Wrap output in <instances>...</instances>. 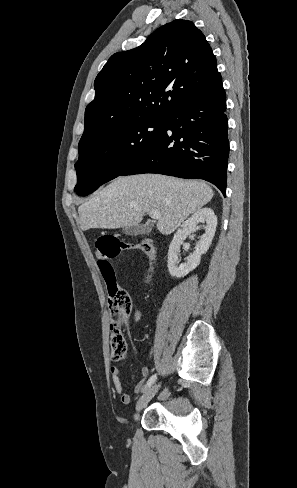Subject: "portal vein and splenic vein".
I'll return each instance as SVG.
<instances>
[{
    "mask_svg": "<svg viewBox=\"0 0 297 488\" xmlns=\"http://www.w3.org/2000/svg\"><path fill=\"white\" fill-rule=\"evenodd\" d=\"M148 214H149L150 217H152L154 219H158V218L161 217V214L157 210H155V209L150 210L148 212Z\"/></svg>",
    "mask_w": 297,
    "mask_h": 488,
    "instance_id": "18ae733b",
    "label": "portal vein and splenic vein"
}]
</instances>
